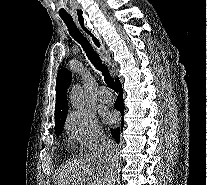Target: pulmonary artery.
I'll list each match as a JSON object with an SVG mask.
<instances>
[{
	"label": "pulmonary artery",
	"mask_w": 207,
	"mask_h": 185,
	"mask_svg": "<svg viewBox=\"0 0 207 185\" xmlns=\"http://www.w3.org/2000/svg\"><path fill=\"white\" fill-rule=\"evenodd\" d=\"M97 99L98 101L102 102V103H108L111 102L112 100V93L109 91H105V90H98L97 93Z\"/></svg>",
	"instance_id": "pulmonary-artery-1"
}]
</instances>
